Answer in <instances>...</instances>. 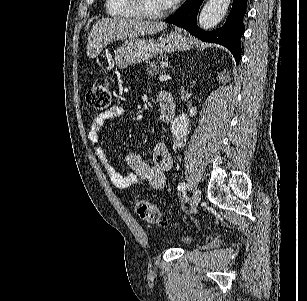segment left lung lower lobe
<instances>
[{"label":"left lung lower lobe","instance_id":"left-lung-lower-lobe-1","mask_svg":"<svg viewBox=\"0 0 307 301\" xmlns=\"http://www.w3.org/2000/svg\"><path fill=\"white\" fill-rule=\"evenodd\" d=\"M202 2L203 0H187L166 22L186 29L202 41L223 45L232 52L238 64L241 57L240 37L245 31L243 18L246 0H233L224 26L211 32H205L197 26V14Z\"/></svg>","mask_w":307,"mask_h":301}]
</instances>
